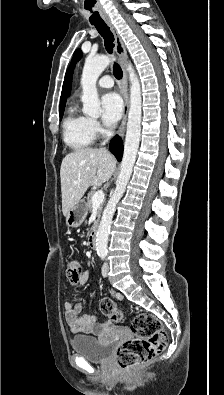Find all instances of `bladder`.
<instances>
[{
    "label": "bladder",
    "instance_id": "bladder-1",
    "mask_svg": "<svg viewBox=\"0 0 224 395\" xmlns=\"http://www.w3.org/2000/svg\"><path fill=\"white\" fill-rule=\"evenodd\" d=\"M70 344L74 352L90 362H106L112 356L113 341L103 342L96 337L74 336Z\"/></svg>",
    "mask_w": 224,
    "mask_h": 395
}]
</instances>
